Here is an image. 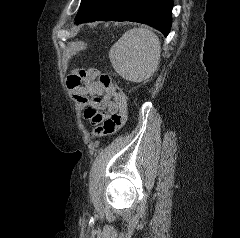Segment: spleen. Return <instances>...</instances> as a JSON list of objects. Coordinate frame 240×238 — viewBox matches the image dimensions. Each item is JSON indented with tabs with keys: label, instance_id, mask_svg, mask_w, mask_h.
Segmentation results:
<instances>
[{
	"label": "spleen",
	"instance_id": "3e777b00",
	"mask_svg": "<svg viewBox=\"0 0 240 238\" xmlns=\"http://www.w3.org/2000/svg\"><path fill=\"white\" fill-rule=\"evenodd\" d=\"M160 53V41L155 33L145 28H134L125 32L111 47L109 58L121 77L141 82L158 69Z\"/></svg>",
	"mask_w": 240,
	"mask_h": 238
}]
</instances>
